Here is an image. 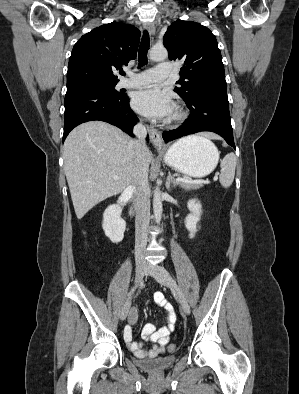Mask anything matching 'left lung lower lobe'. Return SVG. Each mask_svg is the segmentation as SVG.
Masks as SVG:
<instances>
[{
	"mask_svg": "<svg viewBox=\"0 0 299 394\" xmlns=\"http://www.w3.org/2000/svg\"><path fill=\"white\" fill-rule=\"evenodd\" d=\"M186 104L190 116L179 128L163 132L166 143L196 132L211 131L235 149L226 87L202 88Z\"/></svg>",
	"mask_w": 299,
	"mask_h": 394,
	"instance_id": "obj_1",
	"label": "left lung lower lobe"
}]
</instances>
